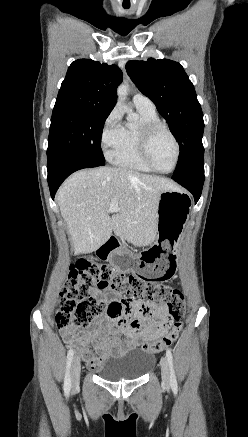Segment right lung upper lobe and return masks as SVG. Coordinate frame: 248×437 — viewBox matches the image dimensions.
Masks as SVG:
<instances>
[{
  "label": "right lung upper lobe",
  "instance_id": "obj_1",
  "mask_svg": "<svg viewBox=\"0 0 248 437\" xmlns=\"http://www.w3.org/2000/svg\"><path fill=\"white\" fill-rule=\"evenodd\" d=\"M122 71L116 65L90 59L74 61L61 84L55 106L110 114L117 102Z\"/></svg>",
  "mask_w": 248,
  "mask_h": 437
}]
</instances>
